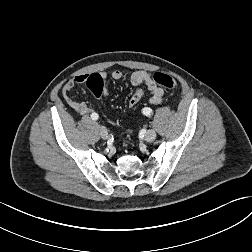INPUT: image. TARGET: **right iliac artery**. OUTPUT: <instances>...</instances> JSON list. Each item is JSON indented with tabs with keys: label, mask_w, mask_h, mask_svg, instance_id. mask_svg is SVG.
Here are the masks:
<instances>
[{
	"label": "right iliac artery",
	"mask_w": 252,
	"mask_h": 252,
	"mask_svg": "<svg viewBox=\"0 0 252 252\" xmlns=\"http://www.w3.org/2000/svg\"><path fill=\"white\" fill-rule=\"evenodd\" d=\"M98 114L97 113H93L92 115H91V119L92 120H97L98 119Z\"/></svg>",
	"instance_id": "1"
}]
</instances>
